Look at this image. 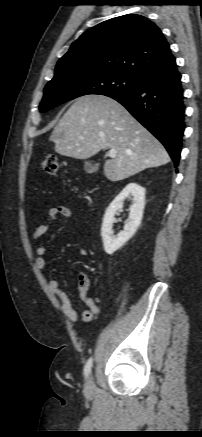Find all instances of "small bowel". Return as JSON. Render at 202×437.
Returning <instances> with one entry per match:
<instances>
[{"label": "small bowel", "mask_w": 202, "mask_h": 437, "mask_svg": "<svg viewBox=\"0 0 202 437\" xmlns=\"http://www.w3.org/2000/svg\"><path fill=\"white\" fill-rule=\"evenodd\" d=\"M58 216L69 219L73 216L72 210L67 206H52L48 210L47 220L37 226L31 235V240H37L46 234L52 224L55 222ZM48 251L46 245H40L35 250V267L38 270H43L46 266L45 255ZM88 250L84 247L80 249V254L82 256L87 255ZM47 286L49 290L59 299L61 303V308L65 316L72 323H76L78 320V314L74 309L71 299L68 294L60 288L59 282L53 278L47 279ZM79 295L83 303L86 305L87 309L83 310L81 313V318L84 322H89L93 319L95 315L99 313V307L96 304V299L88 297L87 291L89 288V280L85 275L79 277Z\"/></svg>", "instance_id": "1"}]
</instances>
